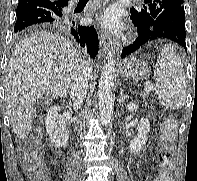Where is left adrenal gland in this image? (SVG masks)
<instances>
[{
	"instance_id": "obj_1",
	"label": "left adrenal gland",
	"mask_w": 197,
	"mask_h": 181,
	"mask_svg": "<svg viewBox=\"0 0 197 181\" xmlns=\"http://www.w3.org/2000/svg\"><path fill=\"white\" fill-rule=\"evenodd\" d=\"M125 99H127V96L124 95V90L121 89V91H120V98H119V105H122L124 103Z\"/></svg>"
}]
</instances>
